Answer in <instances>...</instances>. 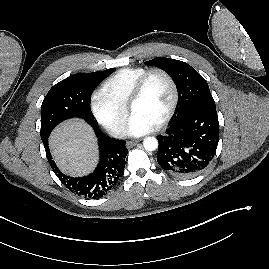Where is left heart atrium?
I'll return each mask as SVG.
<instances>
[{"mask_svg":"<svg viewBox=\"0 0 269 269\" xmlns=\"http://www.w3.org/2000/svg\"><path fill=\"white\" fill-rule=\"evenodd\" d=\"M154 128L155 125L145 118L137 114H132L128 122L127 133L131 136H141L149 133Z\"/></svg>","mask_w":269,"mask_h":269,"instance_id":"obj_1","label":"left heart atrium"}]
</instances>
